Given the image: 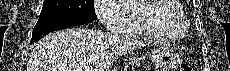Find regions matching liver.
Returning <instances> with one entry per match:
<instances>
[{"mask_svg": "<svg viewBox=\"0 0 230 71\" xmlns=\"http://www.w3.org/2000/svg\"><path fill=\"white\" fill-rule=\"evenodd\" d=\"M137 39L85 28L54 32L35 44L27 71H110L118 56L145 46Z\"/></svg>", "mask_w": 230, "mask_h": 71, "instance_id": "1", "label": "liver"}]
</instances>
